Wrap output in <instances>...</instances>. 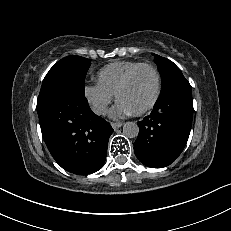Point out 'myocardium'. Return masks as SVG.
I'll return each mask as SVG.
<instances>
[{
  "label": "myocardium",
  "mask_w": 231,
  "mask_h": 231,
  "mask_svg": "<svg viewBox=\"0 0 231 231\" xmlns=\"http://www.w3.org/2000/svg\"><path fill=\"white\" fill-rule=\"evenodd\" d=\"M144 68H148L150 69L155 76V80H156V90H155V94L152 98V100L150 101V103L148 105H146L144 108L133 112L134 115H143L147 112H149L150 110H152L154 108V106L157 104L160 96H161V92H162V79H161V74L158 70V68L150 63H141L138 66H136L135 68H133L127 75L126 77L123 79V81L120 83V85L118 86L116 92H115V98L117 101H119V96L121 94V92L131 83V81L133 80L134 76L141 70Z\"/></svg>",
  "instance_id": "obj_1"
}]
</instances>
